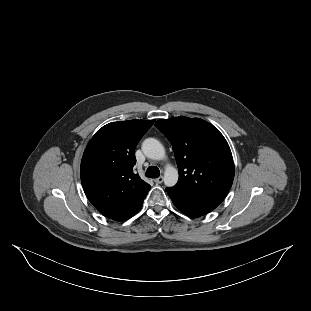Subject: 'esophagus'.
<instances>
[{"instance_id": "esophagus-1", "label": "esophagus", "mask_w": 311, "mask_h": 311, "mask_svg": "<svg viewBox=\"0 0 311 311\" xmlns=\"http://www.w3.org/2000/svg\"><path fill=\"white\" fill-rule=\"evenodd\" d=\"M155 182L160 184L163 182V176H160L159 178L155 179Z\"/></svg>"}]
</instances>
